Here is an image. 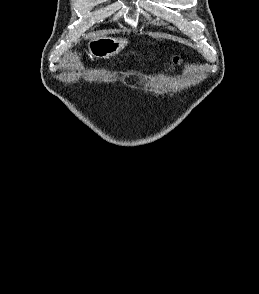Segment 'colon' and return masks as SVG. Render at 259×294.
Instances as JSON below:
<instances>
[{
  "mask_svg": "<svg viewBox=\"0 0 259 294\" xmlns=\"http://www.w3.org/2000/svg\"><path fill=\"white\" fill-rule=\"evenodd\" d=\"M179 61H180V60H179V57H178V56H175V57H173V59H172V63H173L174 66L178 65Z\"/></svg>",
  "mask_w": 259,
  "mask_h": 294,
  "instance_id": "obj_1",
  "label": "colon"
}]
</instances>
